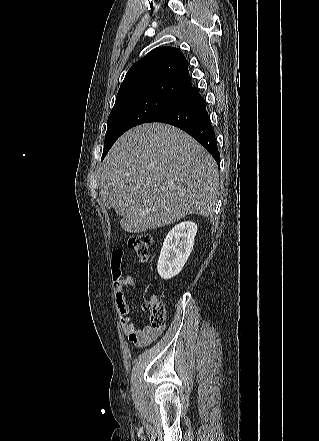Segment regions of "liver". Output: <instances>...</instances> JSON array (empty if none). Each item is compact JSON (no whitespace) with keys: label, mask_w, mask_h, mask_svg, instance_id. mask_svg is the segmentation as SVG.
<instances>
[{"label":"liver","mask_w":319,"mask_h":441,"mask_svg":"<svg viewBox=\"0 0 319 441\" xmlns=\"http://www.w3.org/2000/svg\"><path fill=\"white\" fill-rule=\"evenodd\" d=\"M99 194L129 233L156 229L189 214L208 217L219 195L217 163L181 129L146 123L124 133L110 149Z\"/></svg>","instance_id":"obj_1"}]
</instances>
